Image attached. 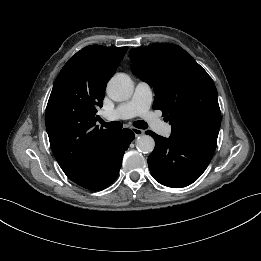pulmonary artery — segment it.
I'll return each mask as SVG.
<instances>
[{
	"label": "pulmonary artery",
	"mask_w": 261,
	"mask_h": 261,
	"mask_svg": "<svg viewBox=\"0 0 261 261\" xmlns=\"http://www.w3.org/2000/svg\"><path fill=\"white\" fill-rule=\"evenodd\" d=\"M153 101V91L150 85L144 81H139L135 87L132 97L115 109L105 112L103 117L108 121L129 119L136 116L144 118L152 128L163 136L171 133L170 125L157 118L150 107Z\"/></svg>",
	"instance_id": "e3ab8cb5"
}]
</instances>
